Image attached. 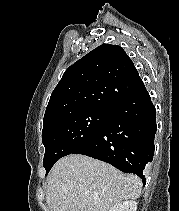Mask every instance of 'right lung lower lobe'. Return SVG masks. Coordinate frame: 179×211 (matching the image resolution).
Instances as JSON below:
<instances>
[{
	"mask_svg": "<svg viewBox=\"0 0 179 211\" xmlns=\"http://www.w3.org/2000/svg\"><path fill=\"white\" fill-rule=\"evenodd\" d=\"M156 110L144 84L115 105L97 135L73 152L107 162L146 183L145 167L154 155Z\"/></svg>",
	"mask_w": 179,
	"mask_h": 211,
	"instance_id": "98d812e1",
	"label": "right lung lower lobe"
}]
</instances>
